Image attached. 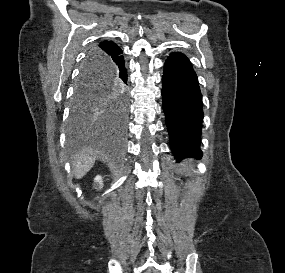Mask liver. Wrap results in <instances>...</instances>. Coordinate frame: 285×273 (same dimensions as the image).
Here are the masks:
<instances>
[{
	"mask_svg": "<svg viewBox=\"0 0 285 273\" xmlns=\"http://www.w3.org/2000/svg\"><path fill=\"white\" fill-rule=\"evenodd\" d=\"M96 161V155L92 152L83 153L76 157L74 161V175L76 179H80L89 172Z\"/></svg>",
	"mask_w": 285,
	"mask_h": 273,
	"instance_id": "1",
	"label": "liver"
}]
</instances>
